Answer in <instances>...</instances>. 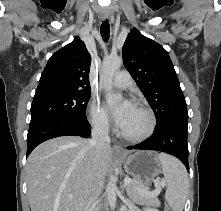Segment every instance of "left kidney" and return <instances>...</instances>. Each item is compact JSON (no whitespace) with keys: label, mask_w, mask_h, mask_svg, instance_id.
<instances>
[{"label":"left kidney","mask_w":221,"mask_h":211,"mask_svg":"<svg viewBox=\"0 0 221 211\" xmlns=\"http://www.w3.org/2000/svg\"><path fill=\"white\" fill-rule=\"evenodd\" d=\"M144 211H159V210L154 209V208H149V207H148V208H145Z\"/></svg>","instance_id":"5707ae66"}]
</instances>
